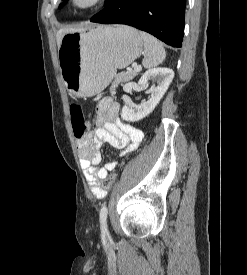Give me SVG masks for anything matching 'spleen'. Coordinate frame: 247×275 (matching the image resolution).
Returning a JSON list of instances; mask_svg holds the SVG:
<instances>
[{"instance_id": "1", "label": "spleen", "mask_w": 247, "mask_h": 275, "mask_svg": "<svg viewBox=\"0 0 247 275\" xmlns=\"http://www.w3.org/2000/svg\"><path fill=\"white\" fill-rule=\"evenodd\" d=\"M140 36L144 42V59L142 65L145 68H152L161 64L166 58V51L155 37L141 31Z\"/></svg>"}]
</instances>
